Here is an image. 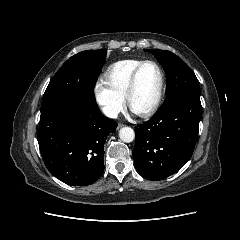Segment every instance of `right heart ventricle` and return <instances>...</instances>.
<instances>
[{
	"label": "right heart ventricle",
	"instance_id": "e07e8e85",
	"mask_svg": "<svg viewBox=\"0 0 240 240\" xmlns=\"http://www.w3.org/2000/svg\"><path fill=\"white\" fill-rule=\"evenodd\" d=\"M142 61L140 59H125L111 64L104 74L106 84L118 95L125 98L130 76Z\"/></svg>",
	"mask_w": 240,
	"mask_h": 240
}]
</instances>
